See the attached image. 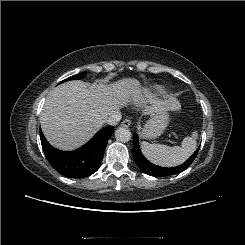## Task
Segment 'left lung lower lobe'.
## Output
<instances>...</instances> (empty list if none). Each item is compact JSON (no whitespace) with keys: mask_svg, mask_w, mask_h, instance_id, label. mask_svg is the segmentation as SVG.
<instances>
[{"mask_svg":"<svg viewBox=\"0 0 245 245\" xmlns=\"http://www.w3.org/2000/svg\"><path fill=\"white\" fill-rule=\"evenodd\" d=\"M198 150L199 149H197L195 153L185 163H183L180 166L171 167V168L160 167L152 164L142 155L138 144V135L134 134V145L132 149V154L136 164L143 172L155 177H164V176H170V175L180 173L183 170H185L187 167H189L191 163L194 161L195 157L197 156Z\"/></svg>","mask_w":245,"mask_h":245,"instance_id":"0a47b994","label":"left lung lower lobe"}]
</instances>
